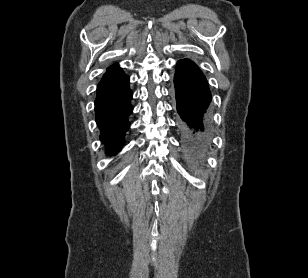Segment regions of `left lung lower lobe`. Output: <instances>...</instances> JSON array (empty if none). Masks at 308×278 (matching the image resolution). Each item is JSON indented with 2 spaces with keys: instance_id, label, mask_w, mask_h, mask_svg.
I'll return each instance as SVG.
<instances>
[{
  "instance_id": "0a47b994",
  "label": "left lung lower lobe",
  "mask_w": 308,
  "mask_h": 278,
  "mask_svg": "<svg viewBox=\"0 0 308 278\" xmlns=\"http://www.w3.org/2000/svg\"><path fill=\"white\" fill-rule=\"evenodd\" d=\"M174 84L181 129L187 145L195 149L207 139L206 117L212 99L208 83L194 62L183 59L177 63Z\"/></svg>"
}]
</instances>
